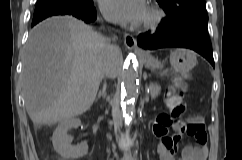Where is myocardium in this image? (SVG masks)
Returning a JSON list of instances; mask_svg holds the SVG:
<instances>
[{
    "label": "myocardium",
    "instance_id": "obj_1",
    "mask_svg": "<svg viewBox=\"0 0 242 160\" xmlns=\"http://www.w3.org/2000/svg\"><path fill=\"white\" fill-rule=\"evenodd\" d=\"M148 17L140 23V28L145 31H154L159 28L166 17L165 11L156 4L148 6Z\"/></svg>",
    "mask_w": 242,
    "mask_h": 160
}]
</instances>
